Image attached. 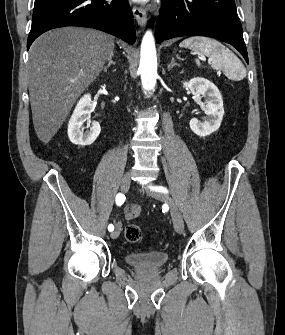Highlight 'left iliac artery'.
<instances>
[{
  "mask_svg": "<svg viewBox=\"0 0 285 335\" xmlns=\"http://www.w3.org/2000/svg\"><path fill=\"white\" fill-rule=\"evenodd\" d=\"M152 190L158 191V192H168L166 188H163L161 186L159 187H151Z\"/></svg>",
  "mask_w": 285,
  "mask_h": 335,
  "instance_id": "1",
  "label": "left iliac artery"
}]
</instances>
